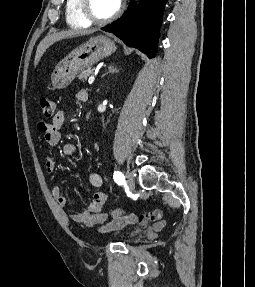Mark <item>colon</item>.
Wrapping results in <instances>:
<instances>
[{
  "instance_id": "colon-1",
  "label": "colon",
  "mask_w": 255,
  "mask_h": 287,
  "mask_svg": "<svg viewBox=\"0 0 255 287\" xmlns=\"http://www.w3.org/2000/svg\"><path fill=\"white\" fill-rule=\"evenodd\" d=\"M40 106H41L42 113L46 118H50L54 115L55 104L52 100L43 98L40 100ZM110 215L113 219H115V218L125 217L126 212L124 209L119 208V209L112 210Z\"/></svg>"
}]
</instances>
